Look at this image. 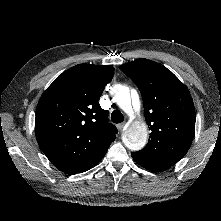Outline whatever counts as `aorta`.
I'll return each instance as SVG.
<instances>
[{
  "instance_id": "obj_1",
  "label": "aorta",
  "mask_w": 221,
  "mask_h": 221,
  "mask_svg": "<svg viewBox=\"0 0 221 221\" xmlns=\"http://www.w3.org/2000/svg\"><path fill=\"white\" fill-rule=\"evenodd\" d=\"M114 101L126 113L132 108L136 111L140 109V99L138 93L134 90L130 92L124 85H115L113 88ZM148 138V130L145 122H134L123 134V142L127 148L132 151L142 149Z\"/></svg>"
}]
</instances>
